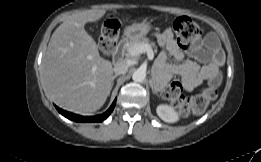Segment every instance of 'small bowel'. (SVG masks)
Masks as SVG:
<instances>
[{"label":"small bowel","mask_w":261,"mask_h":162,"mask_svg":"<svg viewBox=\"0 0 261 162\" xmlns=\"http://www.w3.org/2000/svg\"><path fill=\"white\" fill-rule=\"evenodd\" d=\"M156 38L167 51L162 52L156 61V66L165 79L172 75L181 76L186 90H193L204 80L211 85H219V68L224 64L225 55L215 35L206 36L203 40L195 42L189 49V54L202 63V66L192 60L178 65L168 62V54L179 61L185 58L184 52L180 49L170 29L157 33Z\"/></svg>","instance_id":"obj_1"}]
</instances>
